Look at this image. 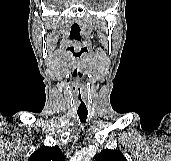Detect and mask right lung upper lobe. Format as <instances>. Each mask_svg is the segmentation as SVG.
<instances>
[{"mask_svg": "<svg viewBox=\"0 0 171 161\" xmlns=\"http://www.w3.org/2000/svg\"><path fill=\"white\" fill-rule=\"evenodd\" d=\"M28 161H65V157L58 147L43 146L35 151Z\"/></svg>", "mask_w": 171, "mask_h": 161, "instance_id": "1", "label": "right lung upper lobe"}]
</instances>
